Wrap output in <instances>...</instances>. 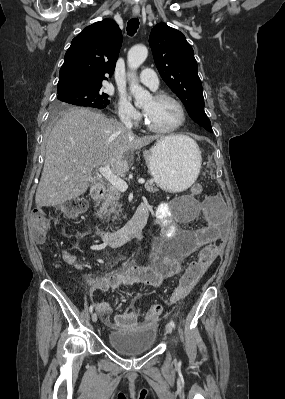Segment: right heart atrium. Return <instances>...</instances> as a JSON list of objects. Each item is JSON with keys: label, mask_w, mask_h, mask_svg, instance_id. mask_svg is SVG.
Instances as JSON below:
<instances>
[{"label": "right heart atrium", "mask_w": 285, "mask_h": 399, "mask_svg": "<svg viewBox=\"0 0 285 399\" xmlns=\"http://www.w3.org/2000/svg\"><path fill=\"white\" fill-rule=\"evenodd\" d=\"M118 116L123 121L137 123L140 120L139 111L125 97H121L118 102Z\"/></svg>", "instance_id": "1"}]
</instances>
